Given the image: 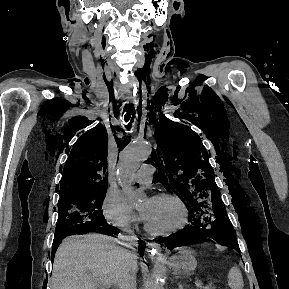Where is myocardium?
Here are the masks:
<instances>
[{
  "mask_svg": "<svg viewBox=\"0 0 289 289\" xmlns=\"http://www.w3.org/2000/svg\"><path fill=\"white\" fill-rule=\"evenodd\" d=\"M153 199L172 200L175 203H177L183 212V221L179 226L172 228V229H169V230H165V231L153 230L146 222H144V230L148 234L153 235V236H169V235H172L174 233H177V232L183 230L188 225L189 210H188V207L186 206L185 202L179 196H177L175 194H171V193H159V194L155 195L153 197Z\"/></svg>",
  "mask_w": 289,
  "mask_h": 289,
  "instance_id": "f54148a6",
  "label": "myocardium"
}]
</instances>
